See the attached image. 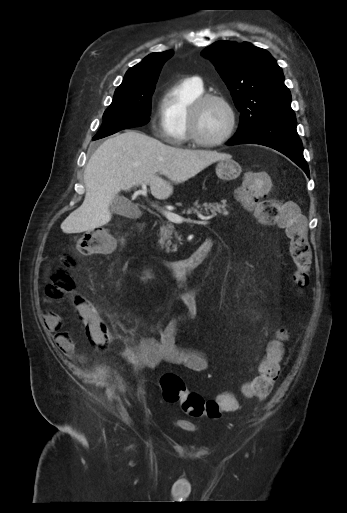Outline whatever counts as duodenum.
<instances>
[{"label":"duodenum","instance_id":"410a0bca","mask_svg":"<svg viewBox=\"0 0 347 513\" xmlns=\"http://www.w3.org/2000/svg\"><path fill=\"white\" fill-rule=\"evenodd\" d=\"M213 245V239H205L195 252L188 258L179 261H162L169 270L171 278L176 282H185L194 274V270L204 261Z\"/></svg>","mask_w":347,"mask_h":513}]
</instances>
